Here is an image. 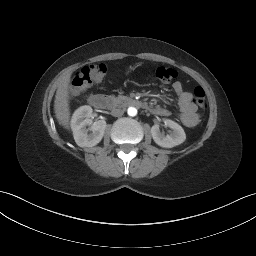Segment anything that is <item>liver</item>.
Listing matches in <instances>:
<instances>
[{"instance_id": "liver-1", "label": "liver", "mask_w": 256, "mask_h": 256, "mask_svg": "<svg viewBox=\"0 0 256 256\" xmlns=\"http://www.w3.org/2000/svg\"><path fill=\"white\" fill-rule=\"evenodd\" d=\"M71 74L72 73L69 72L61 78L54 101L56 119L65 129H69L70 124L69 84Z\"/></svg>"}]
</instances>
